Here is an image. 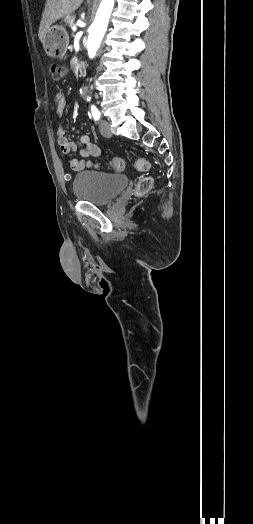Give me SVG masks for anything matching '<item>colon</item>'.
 <instances>
[{
  "mask_svg": "<svg viewBox=\"0 0 253 524\" xmlns=\"http://www.w3.org/2000/svg\"><path fill=\"white\" fill-rule=\"evenodd\" d=\"M49 72L51 75V78L54 81L61 80L65 74L67 73V67L59 62H52L49 65ZM109 165L112 170L115 172H121L125 169V160L121 157H114L110 160ZM134 166L139 171H147L150 168V164L147 160L144 159H137L134 162ZM153 185V180L150 176H143L139 179L135 192L138 196H142L146 194Z\"/></svg>",
  "mask_w": 253,
  "mask_h": 524,
  "instance_id": "obj_1",
  "label": "colon"
}]
</instances>
